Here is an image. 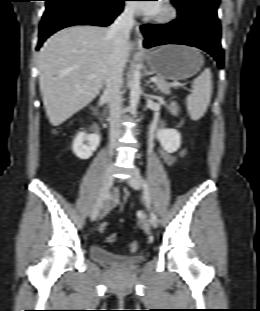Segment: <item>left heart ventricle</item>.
<instances>
[{
    "instance_id": "obj_1",
    "label": "left heart ventricle",
    "mask_w": 260,
    "mask_h": 311,
    "mask_svg": "<svg viewBox=\"0 0 260 311\" xmlns=\"http://www.w3.org/2000/svg\"><path fill=\"white\" fill-rule=\"evenodd\" d=\"M160 10H161V7H159V10H158V12H157V13H159V12H160Z\"/></svg>"
}]
</instances>
